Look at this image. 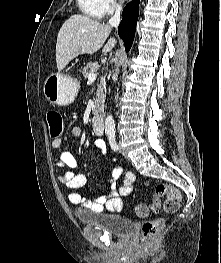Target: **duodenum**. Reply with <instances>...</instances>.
<instances>
[{
	"instance_id": "duodenum-1",
	"label": "duodenum",
	"mask_w": 221,
	"mask_h": 263,
	"mask_svg": "<svg viewBox=\"0 0 221 263\" xmlns=\"http://www.w3.org/2000/svg\"><path fill=\"white\" fill-rule=\"evenodd\" d=\"M92 128L96 134L101 135L104 133V119L102 116H96L92 120Z\"/></svg>"
}]
</instances>
